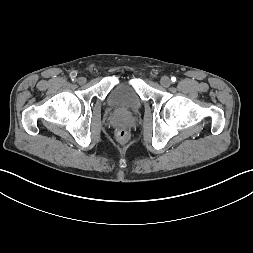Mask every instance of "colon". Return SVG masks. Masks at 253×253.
<instances>
[{
	"instance_id": "5ec220e1",
	"label": "colon",
	"mask_w": 253,
	"mask_h": 253,
	"mask_svg": "<svg viewBox=\"0 0 253 253\" xmlns=\"http://www.w3.org/2000/svg\"><path fill=\"white\" fill-rule=\"evenodd\" d=\"M117 138L121 141H126L129 138V133L125 129L117 131Z\"/></svg>"
}]
</instances>
